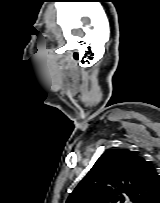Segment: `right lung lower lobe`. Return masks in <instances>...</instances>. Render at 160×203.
<instances>
[{
  "label": "right lung lower lobe",
  "mask_w": 160,
  "mask_h": 203,
  "mask_svg": "<svg viewBox=\"0 0 160 203\" xmlns=\"http://www.w3.org/2000/svg\"><path fill=\"white\" fill-rule=\"evenodd\" d=\"M151 203H160V195H158V197L155 198Z\"/></svg>",
  "instance_id": "obj_1"
}]
</instances>
